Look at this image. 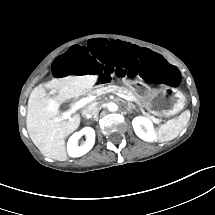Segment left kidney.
<instances>
[{
  "instance_id": "obj_1",
  "label": "left kidney",
  "mask_w": 215,
  "mask_h": 215,
  "mask_svg": "<svg viewBox=\"0 0 215 215\" xmlns=\"http://www.w3.org/2000/svg\"><path fill=\"white\" fill-rule=\"evenodd\" d=\"M132 125L136 135L142 140L146 142H153L156 140L154 125L149 118L144 116H137L132 120ZM142 126L147 129V132L142 129ZM140 132H142L144 136H141Z\"/></svg>"
}]
</instances>
